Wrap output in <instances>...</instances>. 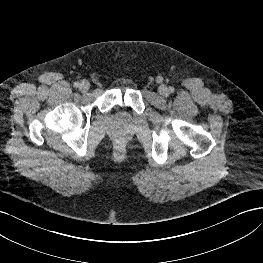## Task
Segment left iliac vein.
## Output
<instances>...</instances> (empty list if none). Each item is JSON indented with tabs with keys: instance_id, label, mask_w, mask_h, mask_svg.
I'll return each instance as SVG.
<instances>
[{
	"instance_id": "4c4485c4",
	"label": "left iliac vein",
	"mask_w": 263,
	"mask_h": 263,
	"mask_svg": "<svg viewBox=\"0 0 263 263\" xmlns=\"http://www.w3.org/2000/svg\"><path fill=\"white\" fill-rule=\"evenodd\" d=\"M159 93H160L162 96H168L169 90H168V88H167L166 86L161 85V86L159 87Z\"/></svg>"
}]
</instances>
